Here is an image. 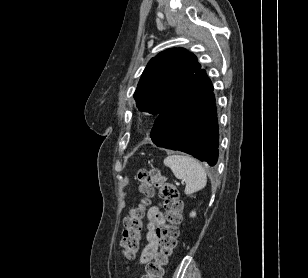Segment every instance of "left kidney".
Masks as SVG:
<instances>
[{
	"instance_id": "5707ae66",
	"label": "left kidney",
	"mask_w": 308,
	"mask_h": 278,
	"mask_svg": "<svg viewBox=\"0 0 308 278\" xmlns=\"http://www.w3.org/2000/svg\"><path fill=\"white\" fill-rule=\"evenodd\" d=\"M195 215H196L195 212H192V213L190 214L191 217H195Z\"/></svg>"
}]
</instances>
